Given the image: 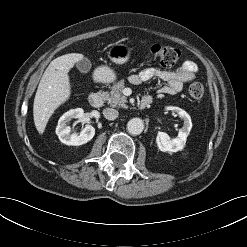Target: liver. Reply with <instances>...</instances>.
<instances>
[{
    "mask_svg": "<svg viewBox=\"0 0 247 247\" xmlns=\"http://www.w3.org/2000/svg\"><path fill=\"white\" fill-rule=\"evenodd\" d=\"M84 58L83 54L69 53L57 57L45 70L34 98L33 117L39 134H43L49 118L71 95L69 71Z\"/></svg>",
    "mask_w": 247,
    "mask_h": 247,
    "instance_id": "6515ba94",
    "label": "liver"
}]
</instances>
